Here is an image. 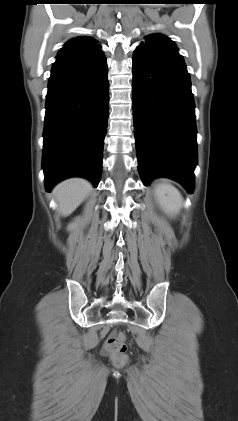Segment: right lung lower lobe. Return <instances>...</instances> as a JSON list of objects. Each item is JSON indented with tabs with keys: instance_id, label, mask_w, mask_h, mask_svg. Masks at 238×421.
Segmentation results:
<instances>
[{
	"instance_id": "obj_1",
	"label": "right lung lower lobe",
	"mask_w": 238,
	"mask_h": 421,
	"mask_svg": "<svg viewBox=\"0 0 238 421\" xmlns=\"http://www.w3.org/2000/svg\"><path fill=\"white\" fill-rule=\"evenodd\" d=\"M107 76L104 54L57 59L53 64L43 132L47 191L73 176L98 185L109 108Z\"/></svg>"
}]
</instances>
